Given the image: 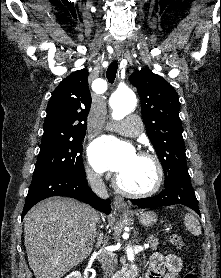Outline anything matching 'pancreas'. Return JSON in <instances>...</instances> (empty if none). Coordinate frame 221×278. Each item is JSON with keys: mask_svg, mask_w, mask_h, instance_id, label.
<instances>
[{"mask_svg": "<svg viewBox=\"0 0 221 278\" xmlns=\"http://www.w3.org/2000/svg\"><path fill=\"white\" fill-rule=\"evenodd\" d=\"M148 243L150 244V249L152 250H156L159 245L158 239L153 235L148 237Z\"/></svg>", "mask_w": 221, "mask_h": 278, "instance_id": "obj_1", "label": "pancreas"}]
</instances>
